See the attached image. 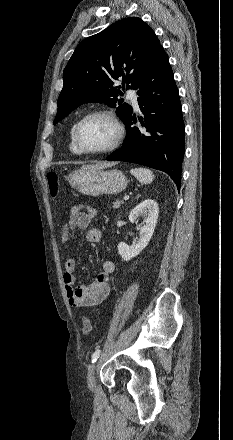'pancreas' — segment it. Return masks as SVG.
Here are the masks:
<instances>
[{
  "label": "pancreas",
  "instance_id": "1",
  "mask_svg": "<svg viewBox=\"0 0 233 440\" xmlns=\"http://www.w3.org/2000/svg\"><path fill=\"white\" fill-rule=\"evenodd\" d=\"M121 203H123V202L120 201V200H116V201L113 203V208H119L120 205H121Z\"/></svg>",
  "mask_w": 233,
  "mask_h": 440
}]
</instances>
